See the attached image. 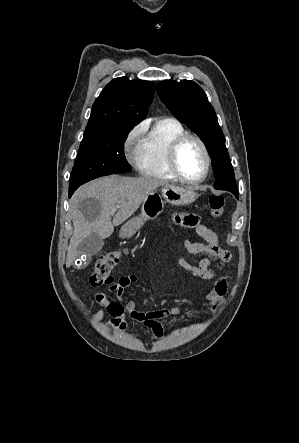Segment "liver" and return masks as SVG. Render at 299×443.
Listing matches in <instances>:
<instances>
[{
  "instance_id": "1",
  "label": "liver",
  "mask_w": 299,
  "mask_h": 443,
  "mask_svg": "<svg viewBox=\"0 0 299 443\" xmlns=\"http://www.w3.org/2000/svg\"><path fill=\"white\" fill-rule=\"evenodd\" d=\"M165 185L166 181L156 178L112 175L81 186L71 200L74 232L67 250L66 266L73 264L78 256L77 247L85 238L91 234L108 238L115 226L126 221L152 192ZM87 199L91 201L84 204ZM114 208L118 211L115 215L110 214Z\"/></svg>"
}]
</instances>
